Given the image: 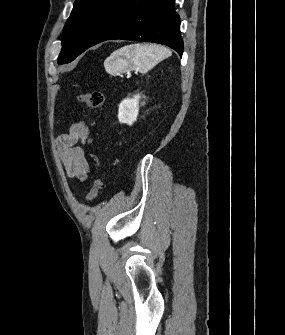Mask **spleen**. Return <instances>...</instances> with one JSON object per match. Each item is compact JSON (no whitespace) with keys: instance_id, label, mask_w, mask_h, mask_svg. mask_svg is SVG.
Listing matches in <instances>:
<instances>
[{"instance_id":"3e777b00","label":"spleen","mask_w":285,"mask_h":335,"mask_svg":"<svg viewBox=\"0 0 285 335\" xmlns=\"http://www.w3.org/2000/svg\"><path fill=\"white\" fill-rule=\"evenodd\" d=\"M171 56L170 50L164 48V46H143V44H132V46H125L121 50L114 52V70L125 66L124 60H130L131 64L135 66L136 70H150L153 66H156L161 60L169 58Z\"/></svg>"}]
</instances>
